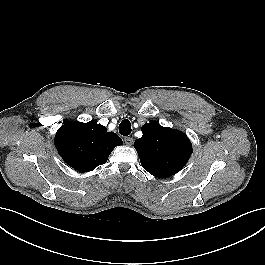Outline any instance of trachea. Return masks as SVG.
<instances>
[{"mask_svg": "<svg viewBox=\"0 0 265 265\" xmlns=\"http://www.w3.org/2000/svg\"><path fill=\"white\" fill-rule=\"evenodd\" d=\"M132 129H131V124L128 119H124L120 125H119V133L123 136H128L130 135Z\"/></svg>", "mask_w": 265, "mask_h": 265, "instance_id": "3493384b", "label": "trachea"}]
</instances>
